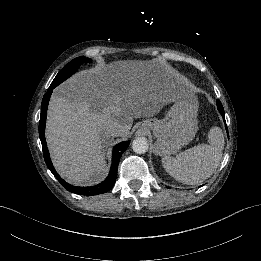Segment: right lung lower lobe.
Instances as JSON below:
<instances>
[{
  "label": "right lung lower lobe",
  "instance_id": "1",
  "mask_svg": "<svg viewBox=\"0 0 261 261\" xmlns=\"http://www.w3.org/2000/svg\"><path fill=\"white\" fill-rule=\"evenodd\" d=\"M53 89L54 88L49 87L48 91L45 93L43 97L42 104H41V115L39 121V137L42 143L43 156L47 167L57 178L60 184L65 189H67L72 193L84 195V196H94V195H99L108 192L115 184L120 158L122 154L125 152V150L128 148L130 141L121 142L113 148L112 163H111L109 174L106 177V179L101 183L93 186L80 187V186L71 185L66 181H64L53 167V164L50 159L48 147L46 144V140H45V124H46L47 108Z\"/></svg>",
  "mask_w": 261,
  "mask_h": 261
}]
</instances>
